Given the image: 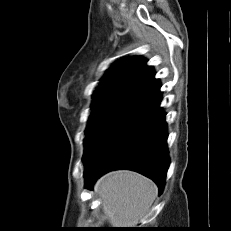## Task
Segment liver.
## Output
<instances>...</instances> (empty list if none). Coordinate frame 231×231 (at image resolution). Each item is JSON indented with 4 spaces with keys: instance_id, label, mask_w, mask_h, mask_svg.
I'll return each mask as SVG.
<instances>
[{
    "instance_id": "1",
    "label": "liver",
    "mask_w": 231,
    "mask_h": 231,
    "mask_svg": "<svg viewBox=\"0 0 231 231\" xmlns=\"http://www.w3.org/2000/svg\"><path fill=\"white\" fill-rule=\"evenodd\" d=\"M105 218L114 228H134L153 204L158 188L150 179L131 171H114L95 184Z\"/></svg>"
}]
</instances>
